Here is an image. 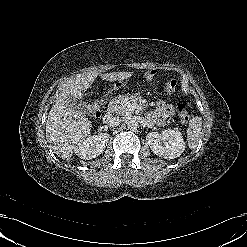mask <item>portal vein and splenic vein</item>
<instances>
[{"label":"portal vein and splenic vein","mask_w":247,"mask_h":247,"mask_svg":"<svg viewBox=\"0 0 247 247\" xmlns=\"http://www.w3.org/2000/svg\"><path fill=\"white\" fill-rule=\"evenodd\" d=\"M138 106H136V105H130V108L131 109H136Z\"/></svg>","instance_id":"portal-vein-and-splenic-vein-1"}]
</instances>
